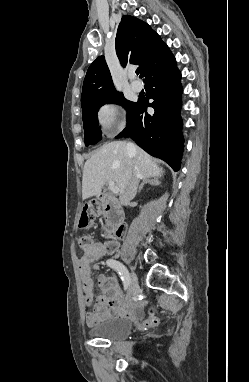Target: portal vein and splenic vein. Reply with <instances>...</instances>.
<instances>
[{
    "label": "portal vein and splenic vein",
    "mask_w": 249,
    "mask_h": 382,
    "mask_svg": "<svg viewBox=\"0 0 249 382\" xmlns=\"http://www.w3.org/2000/svg\"><path fill=\"white\" fill-rule=\"evenodd\" d=\"M109 187L112 193L118 194L119 193V188L115 185L114 182H109Z\"/></svg>",
    "instance_id": "obj_1"
}]
</instances>
